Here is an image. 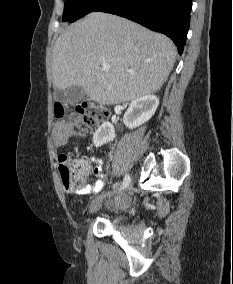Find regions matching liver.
Listing matches in <instances>:
<instances>
[{
	"label": "liver",
	"instance_id": "obj_1",
	"mask_svg": "<svg viewBox=\"0 0 233 284\" xmlns=\"http://www.w3.org/2000/svg\"><path fill=\"white\" fill-rule=\"evenodd\" d=\"M176 55L174 43L165 35L115 15L92 12L56 40L53 85L58 90L82 87L99 104L133 101L161 89ZM103 64L110 70L103 71Z\"/></svg>",
	"mask_w": 233,
	"mask_h": 284
}]
</instances>
